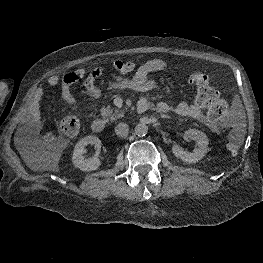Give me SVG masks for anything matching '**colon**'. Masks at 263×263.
Instances as JSON below:
<instances>
[{"label": "colon", "mask_w": 263, "mask_h": 263, "mask_svg": "<svg viewBox=\"0 0 263 263\" xmlns=\"http://www.w3.org/2000/svg\"><path fill=\"white\" fill-rule=\"evenodd\" d=\"M118 69L127 66L116 64ZM190 84L197 89V100L208 111V116L214 120L227 121L231 112L226 101L220 98L218 91L210 84L209 76L204 72H195L189 76ZM61 131L69 137H75L80 131L79 120L71 115L65 116L60 122ZM242 145V134L238 130L231 131L225 140V146L231 153H237Z\"/></svg>", "instance_id": "5ec220e1"}]
</instances>
